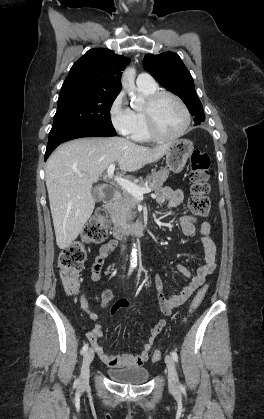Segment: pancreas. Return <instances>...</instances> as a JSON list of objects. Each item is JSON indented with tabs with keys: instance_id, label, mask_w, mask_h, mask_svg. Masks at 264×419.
<instances>
[{
	"instance_id": "pancreas-1",
	"label": "pancreas",
	"mask_w": 264,
	"mask_h": 419,
	"mask_svg": "<svg viewBox=\"0 0 264 419\" xmlns=\"http://www.w3.org/2000/svg\"><path fill=\"white\" fill-rule=\"evenodd\" d=\"M169 176V170L166 168H160L158 171H153L150 176L146 179H140L136 184L139 187H150L152 190H158L162 187L163 183ZM139 204V200L128 193L126 190H122L120 197L114 203L113 211L115 218L118 222H128L133 220L136 215V207Z\"/></svg>"
}]
</instances>
